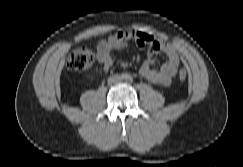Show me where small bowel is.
I'll return each instance as SVG.
<instances>
[{
	"mask_svg": "<svg viewBox=\"0 0 243 167\" xmlns=\"http://www.w3.org/2000/svg\"><path fill=\"white\" fill-rule=\"evenodd\" d=\"M130 41H134L138 46L146 47L148 50V58L140 67V74L151 83L169 86L179 71L180 58L178 52L172 44L159 40L145 31L124 30L109 35L105 40L99 42L97 58L102 68L106 71L110 70L113 65L112 51L126 48ZM158 52L164 53L167 60L160 68L155 69L152 67L154 63L152 57Z\"/></svg>",
	"mask_w": 243,
	"mask_h": 167,
	"instance_id": "obj_1",
	"label": "small bowel"
}]
</instances>
